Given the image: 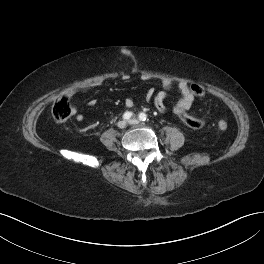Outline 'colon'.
<instances>
[{
  "label": "colon",
  "mask_w": 264,
  "mask_h": 264,
  "mask_svg": "<svg viewBox=\"0 0 264 264\" xmlns=\"http://www.w3.org/2000/svg\"><path fill=\"white\" fill-rule=\"evenodd\" d=\"M190 91L193 95L202 97L205 95V89L199 84H192L190 86ZM53 118L58 122L67 121L72 115V109L69 103V100L66 96H60L54 103L52 109ZM176 115L178 118L183 121L187 126L192 129H202L205 125V122L201 119L190 116L186 111L180 109L177 111ZM218 128L220 130H226L228 124L224 120L218 122Z\"/></svg>",
  "instance_id": "5ec220e1"
}]
</instances>
